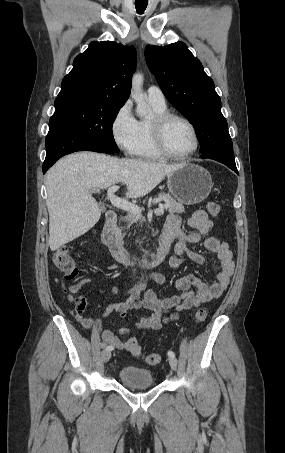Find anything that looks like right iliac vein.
<instances>
[{"label": "right iliac vein", "instance_id": "obj_1", "mask_svg": "<svg viewBox=\"0 0 285 453\" xmlns=\"http://www.w3.org/2000/svg\"><path fill=\"white\" fill-rule=\"evenodd\" d=\"M102 361L104 363L108 362L109 359L111 358V352L109 350H104L101 354Z\"/></svg>", "mask_w": 285, "mask_h": 453}]
</instances>
